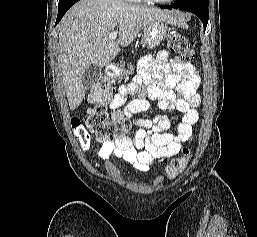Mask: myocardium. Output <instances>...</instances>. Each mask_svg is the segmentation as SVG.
I'll list each match as a JSON object with an SVG mask.
<instances>
[{
  "label": "myocardium",
  "mask_w": 257,
  "mask_h": 237,
  "mask_svg": "<svg viewBox=\"0 0 257 237\" xmlns=\"http://www.w3.org/2000/svg\"><path fill=\"white\" fill-rule=\"evenodd\" d=\"M148 1L157 3V4H170L175 2L176 0H148Z\"/></svg>",
  "instance_id": "f54148a6"
}]
</instances>
